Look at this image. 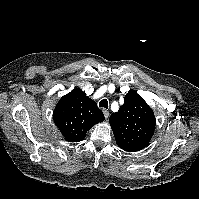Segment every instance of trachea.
<instances>
[{
  "instance_id": "trachea-1",
  "label": "trachea",
  "mask_w": 199,
  "mask_h": 199,
  "mask_svg": "<svg viewBox=\"0 0 199 199\" xmlns=\"http://www.w3.org/2000/svg\"><path fill=\"white\" fill-rule=\"evenodd\" d=\"M99 107H104V108H108V101L107 99H103L99 102Z\"/></svg>"
}]
</instances>
